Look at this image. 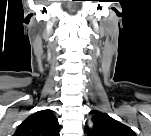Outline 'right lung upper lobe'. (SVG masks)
Segmentation results:
<instances>
[{
    "label": "right lung upper lobe",
    "instance_id": "right-lung-upper-lobe-1",
    "mask_svg": "<svg viewBox=\"0 0 151 136\" xmlns=\"http://www.w3.org/2000/svg\"><path fill=\"white\" fill-rule=\"evenodd\" d=\"M60 126L50 110L38 111L25 119L15 136H59Z\"/></svg>",
    "mask_w": 151,
    "mask_h": 136
}]
</instances>
